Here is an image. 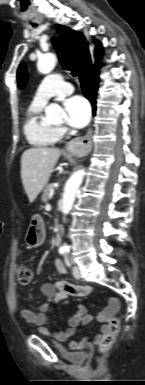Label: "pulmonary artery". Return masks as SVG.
Masks as SVG:
<instances>
[{
  "label": "pulmonary artery",
  "instance_id": "obj_1",
  "mask_svg": "<svg viewBox=\"0 0 145 385\" xmlns=\"http://www.w3.org/2000/svg\"><path fill=\"white\" fill-rule=\"evenodd\" d=\"M73 90V86L65 82L61 75L53 73L43 79L34 95L33 102L45 104L50 98L72 93Z\"/></svg>",
  "mask_w": 145,
  "mask_h": 385
}]
</instances>
